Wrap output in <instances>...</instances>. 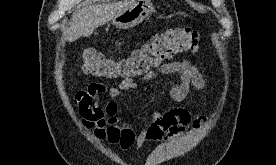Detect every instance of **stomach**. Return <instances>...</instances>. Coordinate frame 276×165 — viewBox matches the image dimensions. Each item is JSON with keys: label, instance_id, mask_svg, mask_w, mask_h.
<instances>
[{"label": "stomach", "instance_id": "0dacf381", "mask_svg": "<svg viewBox=\"0 0 276 165\" xmlns=\"http://www.w3.org/2000/svg\"><path fill=\"white\" fill-rule=\"evenodd\" d=\"M155 13L151 0H137L134 5L113 19V24L119 29H129Z\"/></svg>", "mask_w": 276, "mask_h": 165}]
</instances>
